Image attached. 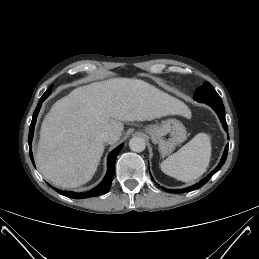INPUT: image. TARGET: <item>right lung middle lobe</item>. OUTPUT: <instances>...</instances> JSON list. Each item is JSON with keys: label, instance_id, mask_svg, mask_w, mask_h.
<instances>
[{"label": "right lung middle lobe", "instance_id": "right-lung-middle-lobe-1", "mask_svg": "<svg viewBox=\"0 0 259 259\" xmlns=\"http://www.w3.org/2000/svg\"><path fill=\"white\" fill-rule=\"evenodd\" d=\"M52 87V86H51ZM51 87L44 93L46 94L47 96L49 95L50 91H51Z\"/></svg>", "mask_w": 259, "mask_h": 259}]
</instances>
